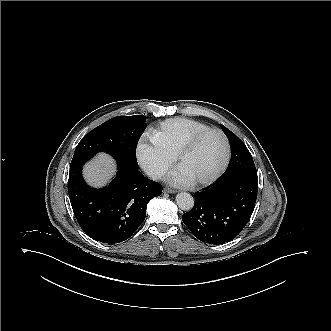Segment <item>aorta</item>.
I'll list each match as a JSON object with an SVG mask.
<instances>
[{"label":"aorta","mask_w":331,"mask_h":331,"mask_svg":"<svg viewBox=\"0 0 331 331\" xmlns=\"http://www.w3.org/2000/svg\"><path fill=\"white\" fill-rule=\"evenodd\" d=\"M176 203L183 211H190L194 206V198L187 192H181L176 195Z\"/></svg>","instance_id":"762f6f07"}]
</instances>
